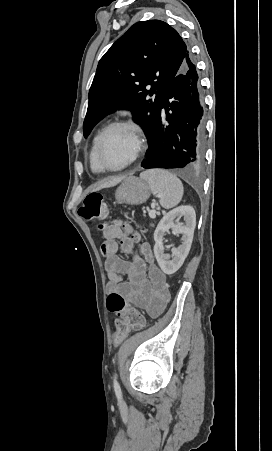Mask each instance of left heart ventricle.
<instances>
[{"instance_id": "b2bd125f", "label": "left heart ventricle", "mask_w": 272, "mask_h": 451, "mask_svg": "<svg viewBox=\"0 0 272 451\" xmlns=\"http://www.w3.org/2000/svg\"><path fill=\"white\" fill-rule=\"evenodd\" d=\"M130 141L125 131L114 129L110 131L100 150V164L109 170L121 168L129 159Z\"/></svg>"}]
</instances>
